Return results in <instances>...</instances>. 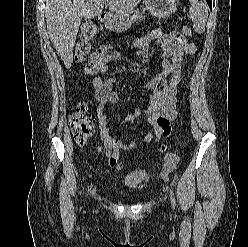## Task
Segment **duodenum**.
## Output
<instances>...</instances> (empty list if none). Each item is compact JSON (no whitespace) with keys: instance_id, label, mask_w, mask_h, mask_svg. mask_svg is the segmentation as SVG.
Returning <instances> with one entry per match:
<instances>
[{"instance_id":"obj_1","label":"duodenum","mask_w":248,"mask_h":247,"mask_svg":"<svg viewBox=\"0 0 248 247\" xmlns=\"http://www.w3.org/2000/svg\"><path fill=\"white\" fill-rule=\"evenodd\" d=\"M100 18L103 22H110L111 21V15L108 13H102Z\"/></svg>"}]
</instances>
